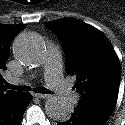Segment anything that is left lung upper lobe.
Returning <instances> with one entry per match:
<instances>
[{
  "instance_id": "left-lung-upper-lobe-1",
  "label": "left lung upper lobe",
  "mask_w": 125,
  "mask_h": 125,
  "mask_svg": "<svg viewBox=\"0 0 125 125\" xmlns=\"http://www.w3.org/2000/svg\"><path fill=\"white\" fill-rule=\"evenodd\" d=\"M60 38L66 71L76 77L73 89L81 94L78 107L111 115L117 102L121 67L107 37L74 18L46 23Z\"/></svg>"
}]
</instances>
